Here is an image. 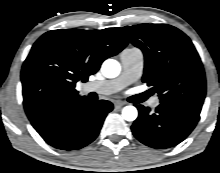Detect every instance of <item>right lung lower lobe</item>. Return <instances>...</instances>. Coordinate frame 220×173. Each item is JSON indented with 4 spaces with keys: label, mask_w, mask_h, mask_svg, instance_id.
Instances as JSON below:
<instances>
[{
    "label": "right lung lower lobe",
    "mask_w": 220,
    "mask_h": 173,
    "mask_svg": "<svg viewBox=\"0 0 220 173\" xmlns=\"http://www.w3.org/2000/svg\"><path fill=\"white\" fill-rule=\"evenodd\" d=\"M112 109L113 104L109 101L95 103L85 96L75 95L46 106L28 118L49 145L70 151L91 143Z\"/></svg>",
    "instance_id": "98d812e1"
}]
</instances>
